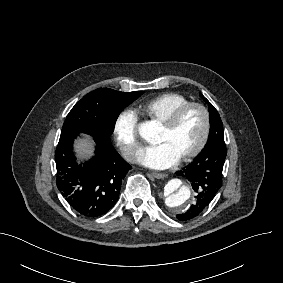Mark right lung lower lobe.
<instances>
[{"mask_svg": "<svg viewBox=\"0 0 283 283\" xmlns=\"http://www.w3.org/2000/svg\"><path fill=\"white\" fill-rule=\"evenodd\" d=\"M80 132L61 133L55 152L59 191L80 215L99 217L117 202L122 181L131 166L117 153L110 140L93 137L94 156L77 163L73 141Z\"/></svg>", "mask_w": 283, "mask_h": 283, "instance_id": "1", "label": "right lung lower lobe"}]
</instances>
